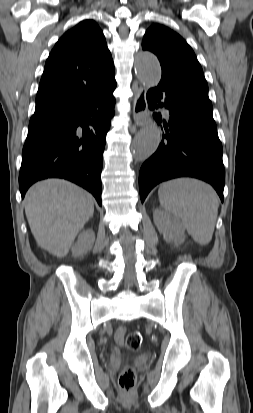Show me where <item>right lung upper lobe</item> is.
I'll return each mask as SVG.
<instances>
[{"label":"right lung upper lobe","instance_id":"right-lung-upper-lobe-1","mask_svg":"<svg viewBox=\"0 0 253 413\" xmlns=\"http://www.w3.org/2000/svg\"><path fill=\"white\" fill-rule=\"evenodd\" d=\"M114 74L101 29L93 20L80 22L51 51L32 117L56 115L73 102L95 95Z\"/></svg>","mask_w":253,"mask_h":413}]
</instances>
